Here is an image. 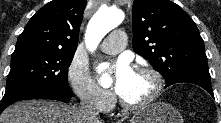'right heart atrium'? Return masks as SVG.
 <instances>
[{
  "mask_svg": "<svg viewBox=\"0 0 221 123\" xmlns=\"http://www.w3.org/2000/svg\"><path fill=\"white\" fill-rule=\"evenodd\" d=\"M68 82L79 99L102 112L109 111L114 103L113 95L100 88L91 78L86 67L73 61L68 69Z\"/></svg>",
  "mask_w": 221,
  "mask_h": 123,
  "instance_id": "obj_1",
  "label": "right heart atrium"
}]
</instances>
